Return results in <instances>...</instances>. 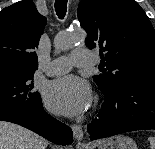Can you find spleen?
Wrapping results in <instances>:
<instances>
[{
	"label": "spleen",
	"instance_id": "obj_1",
	"mask_svg": "<svg viewBox=\"0 0 155 149\" xmlns=\"http://www.w3.org/2000/svg\"><path fill=\"white\" fill-rule=\"evenodd\" d=\"M148 141H149V143H150V149H155V137L150 136V137L148 138Z\"/></svg>",
	"mask_w": 155,
	"mask_h": 149
}]
</instances>
